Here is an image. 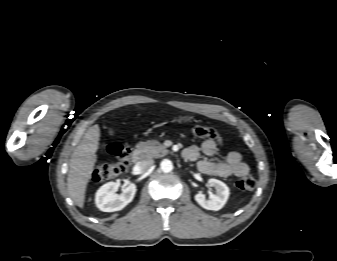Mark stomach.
Here are the masks:
<instances>
[{
	"mask_svg": "<svg viewBox=\"0 0 337 261\" xmlns=\"http://www.w3.org/2000/svg\"><path fill=\"white\" fill-rule=\"evenodd\" d=\"M192 119L193 117L190 115H183V116L176 117L174 121L178 123H188V122H191Z\"/></svg>",
	"mask_w": 337,
	"mask_h": 261,
	"instance_id": "1",
	"label": "stomach"
}]
</instances>
